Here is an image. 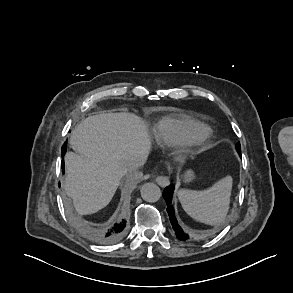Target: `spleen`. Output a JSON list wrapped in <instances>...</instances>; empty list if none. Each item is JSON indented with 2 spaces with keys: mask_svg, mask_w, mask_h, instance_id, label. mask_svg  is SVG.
Segmentation results:
<instances>
[{
  "mask_svg": "<svg viewBox=\"0 0 293 293\" xmlns=\"http://www.w3.org/2000/svg\"><path fill=\"white\" fill-rule=\"evenodd\" d=\"M232 191V177L226 176L206 190L181 189L177 195L184 211L193 219L220 225L227 216Z\"/></svg>",
  "mask_w": 293,
  "mask_h": 293,
  "instance_id": "obj_1",
  "label": "spleen"
}]
</instances>
